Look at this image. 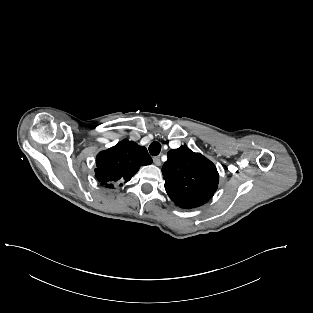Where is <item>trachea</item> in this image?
<instances>
[{
	"instance_id": "3493384b",
	"label": "trachea",
	"mask_w": 313,
	"mask_h": 313,
	"mask_svg": "<svg viewBox=\"0 0 313 313\" xmlns=\"http://www.w3.org/2000/svg\"><path fill=\"white\" fill-rule=\"evenodd\" d=\"M161 151V144L157 141H154L149 146V152L151 155L156 156Z\"/></svg>"
}]
</instances>
